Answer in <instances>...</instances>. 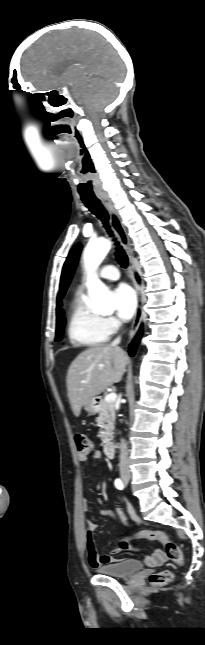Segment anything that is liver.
<instances>
[{"mask_svg": "<svg viewBox=\"0 0 205 645\" xmlns=\"http://www.w3.org/2000/svg\"><path fill=\"white\" fill-rule=\"evenodd\" d=\"M128 361L121 348L110 344L94 345L75 358L68 369L66 384L76 417L82 406L121 380Z\"/></svg>", "mask_w": 205, "mask_h": 645, "instance_id": "1", "label": "liver"}]
</instances>
